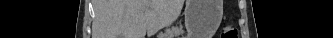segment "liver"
Wrapping results in <instances>:
<instances>
[{
	"instance_id": "6515ba94",
	"label": "liver",
	"mask_w": 333,
	"mask_h": 38,
	"mask_svg": "<svg viewBox=\"0 0 333 38\" xmlns=\"http://www.w3.org/2000/svg\"><path fill=\"white\" fill-rule=\"evenodd\" d=\"M99 0L95 4L93 38H115L119 34L141 37L146 31L174 21L183 0Z\"/></svg>"
}]
</instances>
